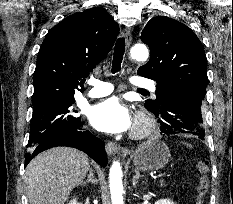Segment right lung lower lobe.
I'll return each mask as SVG.
<instances>
[{"instance_id": "right-lung-lower-lobe-1", "label": "right lung lower lobe", "mask_w": 233, "mask_h": 204, "mask_svg": "<svg viewBox=\"0 0 233 204\" xmlns=\"http://www.w3.org/2000/svg\"><path fill=\"white\" fill-rule=\"evenodd\" d=\"M57 146L77 148L89 155L102 167L107 165V154L105 152L104 142L89 131H82L80 125L77 129L65 130L55 134L33 150H29L25 156V166L40 152Z\"/></svg>"}]
</instances>
